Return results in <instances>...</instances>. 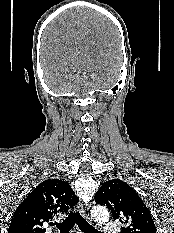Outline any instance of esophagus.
<instances>
[{
	"label": "esophagus",
	"instance_id": "esophagus-1",
	"mask_svg": "<svg viewBox=\"0 0 174 233\" xmlns=\"http://www.w3.org/2000/svg\"><path fill=\"white\" fill-rule=\"evenodd\" d=\"M79 212L81 213V215L88 221H91L90 217L88 216V214L85 211V207L83 205V203H79Z\"/></svg>",
	"mask_w": 174,
	"mask_h": 233
}]
</instances>
